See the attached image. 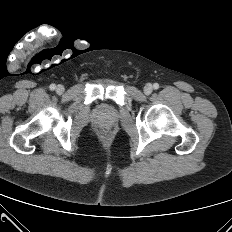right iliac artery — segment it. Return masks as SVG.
Returning a JSON list of instances; mask_svg holds the SVG:
<instances>
[{"mask_svg":"<svg viewBox=\"0 0 232 232\" xmlns=\"http://www.w3.org/2000/svg\"><path fill=\"white\" fill-rule=\"evenodd\" d=\"M55 88H56V85H55V84H51V85H50V89H51V90H54Z\"/></svg>","mask_w":232,"mask_h":232,"instance_id":"obj_1","label":"right iliac artery"}]
</instances>
